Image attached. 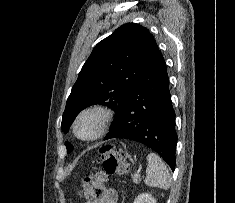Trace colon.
<instances>
[{
	"label": "colon",
	"instance_id": "5ec220e1",
	"mask_svg": "<svg viewBox=\"0 0 235 203\" xmlns=\"http://www.w3.org/2000/svg\"><path fill=\"white\" fill-rule=\"evenodd\" d=\"M100 168L82 179V195L90 199L102 198L106 192L108 175L124 176L129 172L126 153L112 145H105L99 150Z\"/></svg>",
	"mask_w": 235,
	"mask_h": 203
}]
</instances>
